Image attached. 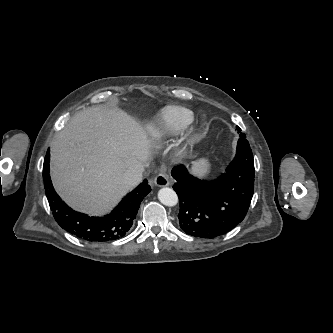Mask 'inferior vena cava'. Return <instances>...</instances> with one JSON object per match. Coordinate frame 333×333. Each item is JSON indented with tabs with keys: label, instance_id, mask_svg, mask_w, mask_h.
I'll return each mask as SVG.
<instances>
[{
	"label": "inferior vena cava",
	"instance_id": "obj_1",
	"mask_svg": "<svg viewBox=\"0 0 333 333\" xmlns=\"http://www.w3.org/2000/svg\"><path fill=\"white\" fill-rule=\"evenodd\" d=\"M144 165L140 162H133L123 174L124 184L134 187L142 181Z\"/></svg>",
	"mask_w": 333,
	"mask_h": 333
}]
</instances>
